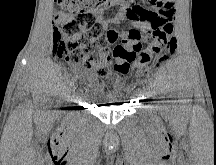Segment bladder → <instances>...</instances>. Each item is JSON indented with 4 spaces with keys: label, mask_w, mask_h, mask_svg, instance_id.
Returning a JSON list of instances; mask_svg holds the SVG:
<instances>
[{
    "label": "bladder",
    "mask_w": 216,
    "mask_h": 165,
    "mask_svg": "<svg viewBox=\"0 0 216 165\" xmlns=\"http://www.w3.org/2000/svg\"><path fill=\"white\" fill-rule=\"evenodd\" d=\"M119 81H99L97 89L100 90L101 94L105 95H94L91 88H88V92L85 93V97L93 100H106L107 97H116V92H109L112 86H119ZM93 95V96H91ZM119 104H114V101H105V106H114Z\"/></svg>",
    "instance_id": "bladder-1"
}]
</instances>
